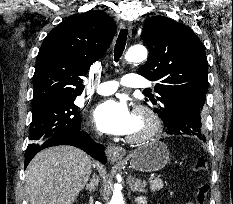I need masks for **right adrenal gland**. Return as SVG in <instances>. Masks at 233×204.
<instances>
[{
  "mask_svg": "<svg viewBox=\"0 0 233 204\" xmlns=\"http://www.w3.org/2000/svg\"><path fill=\"white\" fill-rule=\"evenodd\" d=\"M98 182V176L94 173L92 179L90 180V183L86 185V189L90 192L95 191L98 186Z\"/></svg>",
  "mask_w": 233,
  "mask_h": 204,
  "instance_id": "2a0ac1e0",
  "label": "right adrenal gland"
}]
</instances>
